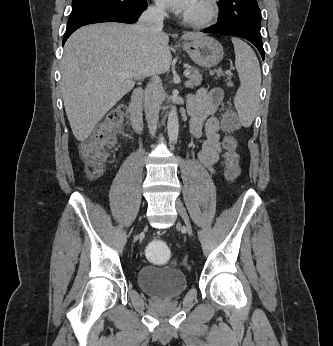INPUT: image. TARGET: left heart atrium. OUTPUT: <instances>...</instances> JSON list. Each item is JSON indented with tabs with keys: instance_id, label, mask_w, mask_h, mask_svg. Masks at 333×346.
Wrapping results in <instances>:
<instances>
[{
	"instance_id": "left-heart-atrium-1",
	"label": "left heart atrium",
	"mask_w": 333,
	"mask_h": 346,
	"mask_svg": "<svg viewBox=\"0 0 333 346\" xmlns=\"http://www.w3.org/2000/svg\"><path fill=\"white\" fill-rule=\"evenodd\" d=\"M194 1L195 0H157L161 6L183 14L188 12Z\"/></svg>"
}]
</instances>
